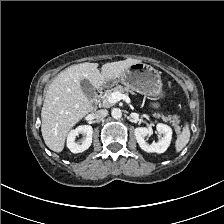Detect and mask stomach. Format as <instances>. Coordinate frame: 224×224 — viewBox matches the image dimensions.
<instances>
[{"mask_svg":"<svg viewBox=\"0 0 224 224\" xmlns=\"http://www.w3.org/2000/svg\"><path fill=\"white\" fill-rule=\"evenodd\" d=\"M118 80L126 87L148 96H163L162 80L158 70L152 66L138 62L128 67ZM117 81L110 79L105 82V86H111Z\"/></svg>","mask_w":224,"mask_h":224,"instance_id":"stomach-1","label":"stomach"}]
</instances>
